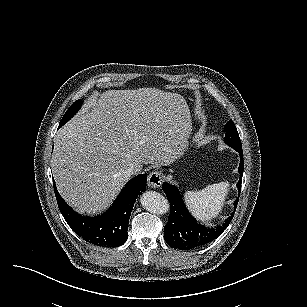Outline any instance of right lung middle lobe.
I'll return each instance as SVG.
<instances>
[{
	"label": "right lung middle lobe",
	"instance_id": "dd1d6c3e",
	"mask_svg": "<svg viewBox=\"0 0 307 307\" xmlns=\"http://www.w3.org/2000/svg\"><path fill=\"white\" fill-rule=\"evenodd\" d=\"M82 105V101L79 99L76 102H74L70 108L67 110V112L64 114L63 118L60 121L59 127H62L67 121H69L75 114L76 112L80 109Z\"/></svg>",
	"mask_w": 307,
	"mask_h": 307
}]
</instances>
